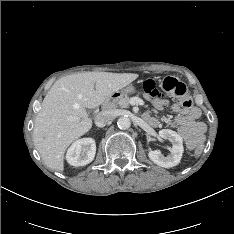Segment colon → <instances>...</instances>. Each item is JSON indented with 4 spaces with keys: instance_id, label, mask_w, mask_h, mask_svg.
<instances>
[{
    "instance_id": "5ec220e1",
    "label": "colon",
    "mask_w": 234,
    "mask_h": 234,
    "mask_svg": "<svg viewBox=\"0 0 234 234\" xmlns=\"http://www.w3.org/2000/svg\"><path fill=\"white\" fill-rule=\"evenodd\" d=\"M161 89L174 97H176L183 108H190L193 104L191 96L188 94L186 86L173 77H166L161 83ZM143 91L151 97L160 96V92L156 87V83L152 79H147L143 82ZM195 155L202 152L200 145L192 147Z\"/></svg>"
}]
</instances>
